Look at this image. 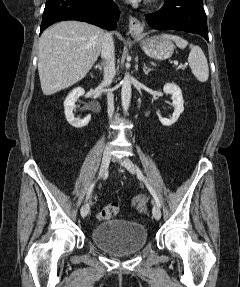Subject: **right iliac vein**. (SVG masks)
<instances>
[{
    "label": "right iliac vein",
    "instance_id": "obj_1",
    "mask_svg": "<svg viewBox=\"0 0 240 287\" xmlns=\"http://www.w3.org/2000/svg\"><path fill=\"white\" fill-rule=\"evenodd\" d=\"M111 160V154L110 151H105L102 157V162H101V167H100V171H99V176L102 177L104 175V173L107 171L108 167H109V163ZM89 204L86 203L82 206L81 208V216L84 218L87 216V214L89 213Z\"/></svg>",
    "mask_w": 240,
    "mask_h": 287
}]
</instances>
